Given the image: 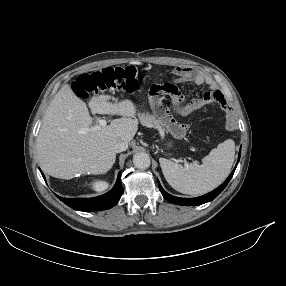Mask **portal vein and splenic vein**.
Instances as JSON below:
<instances>
[{
	"mask_svg": "<svg viewBox=\"0 0 286 286\" xmlns=\"http://www.w3.org/2000/svg\"><path fill=\"white\" fill-rule=\"evenodd\" d=\"M106 125H107V121L104 120V119H101V120H99L98 125H95V126H93L91 128H85V129L82 130V133H87L89 131H95V130L100 129L101 127H105Z\"/></svg>",
	"mask_w": 286,
	"mask_h": 286,
	"instance_id": "obj_1",
	"label": "portal vein and splenic vein"
}]
</instances>
